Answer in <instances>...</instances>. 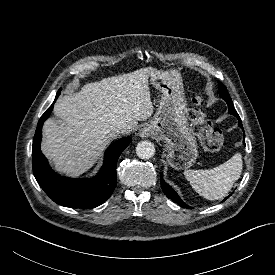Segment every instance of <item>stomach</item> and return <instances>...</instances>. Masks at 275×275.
Instances as JSON below:
<instances>
[{
	"instance_id": "obj_1",
	"label": "stomach",
	"mask_w": 275,
	"mask_h": 275,
	"mask_svg": "<svg viewBox=\"0 0 275 275\" xmlns=\"http://www.w3.org/2000/svg\"><path fill=\"white\" fill-rule=\"evenodd\" d=\"M151 84L161 92L156 114L147 127L165 143L166 160L177 170L192 166L198 156L195 137L187 119V103L178 70H154Z\"/></svg>"
}]
</instances>
